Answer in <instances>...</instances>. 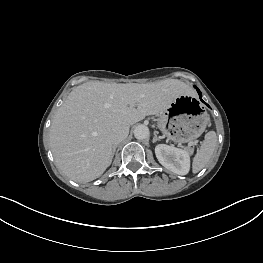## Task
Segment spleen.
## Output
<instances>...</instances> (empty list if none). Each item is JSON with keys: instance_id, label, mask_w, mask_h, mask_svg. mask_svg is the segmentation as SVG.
Segmentation results:
<instances>
[{"instance_id": "obj_1", "label": "spleen", "mask_w": 263, "mask_h": 263, "mask_svg": "<svg viewBox=\"0 0 263 263\" xmlns=\"http://www.w3.org/2000/svg\"><path fill=\"white\" fill-rule=\"evenodd\" d=\"M217 136L214 131H210L205 135V139L193 158L192 171L197 173L202 170L210 160L216 148Z\"/></svg>"}]
</instances>
